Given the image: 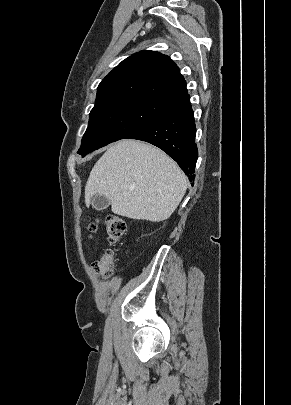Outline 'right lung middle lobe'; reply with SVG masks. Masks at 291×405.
<instances>
[{
    "label": "right lung middle lobe",
    "instance_id": "right-lung-middle-lobe-1",
    "mask_svg": "<svg viewBox=\"0 0 291 405\" xmlns=\"http://www.w3.org/2000/svg\"><path fill=\"white\" fill-rule=\"evenodd\" d=\"M168 104L148 99H124L94 106L78 154L83 157L109 143L126 138Z\"/></svg>",
    "mask_w": 291,
    "mask_h": 405
}]
</instances>
